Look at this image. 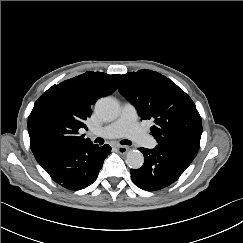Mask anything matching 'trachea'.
<instances>
[{
  "label": "trachea",
  "instance_id": "trachea-1",
  "mask_svg": "<svg viewBox=\"0 0 243 243\" xmlns=\"http://www.w3.org/2000/svg\"><path fill=\"white\" fill-rule=\"evenodd\" d=\"M95 142H96V143H99L100 145H102V144L104 143V139H102V138H100V137H97V138L95 139ZM120 143H121L122 145H131V144H132V142L129 141V140H122V141H120Z\"/></svg>",
  "mask_w": 243,
  "mask_h": 243
}]
</instances>
